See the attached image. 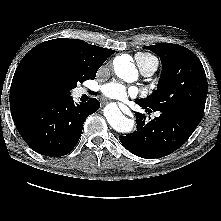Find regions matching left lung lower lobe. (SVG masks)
<instances>
[{
	"instance_id": "obj_1",
	"label": "left lung lower lobe",
	"mask_w": 221,
	"mask_h": 221,
	"mask_svg": "<svg viewBox=\"0 0 221 221\" xmlns=\"http://www.w3.org/2000/svg\"><path fill=\"white\" fill-rule=\"evenodd\" d=\"M136 103L150 111L140 101ZM160 112L159 117L149 122H145L143 114L135 112L137 131L120 137L123 146L133 154L147 159L169 155L187 141L202 117L181 110Z\"/></svg>"
}]
</instances>
